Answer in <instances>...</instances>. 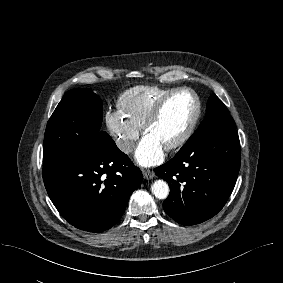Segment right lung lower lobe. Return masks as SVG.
<instances>
[{
    "instance_id": "98d812e1",
    "label": "right lung lower lobe",
    "mask_w": 283,
    "mask_h": 283,
    "mask_svg": "<svg viewBox=\"0 0 283 283\" xmlns=\"http://www.w3.org/2000/svg\"><path fill=\"white\" fill-rule=\"evenodd\" d=\"M43 180L63 218L78 229L102 232L121 218L142 173L110 137L44 167Z\"/></svg>"
}]
</instances>
